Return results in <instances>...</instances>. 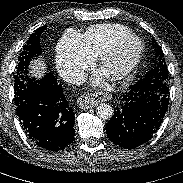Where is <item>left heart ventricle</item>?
Returning a JSON list of instances; mask_svg holds the SVG:
<instances>
[{"label": "left heart ventricle", "mask_w": 183, "mask_h": 183, "mask_svg": "<svg viewBox=\"0 0 183 183\" xmlns=\"http://www.w3.org/2000/svg\"><path fill=\"white\" fill-rule=\"evenodd\" d=\"M135 52H136V45L134 44L128 45L122 51L120 56L111 63L110 69L111 70L120 69L127 61L130 60V58H132Z\"/></svg>", "instance_id": "left-heart-ventricle-1"}]
</instances>
